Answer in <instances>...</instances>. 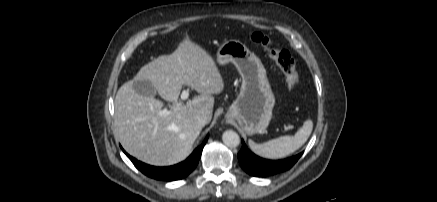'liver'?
<instances>
[{
	"instance_id": "1",
	"label": "liver",
	"mask_w": 437,
	"mask_h": 202,
	"mask_svg": "<svg viewBox=\"0 0 437 202\" xmlns=\"http://www.w3.org/2000/svg\"><path fill=\"white\" fill-rule=\"evenodd\" d=\"M147 80L165 101L169 114L160 115L163 102L138 94L134 81ZM200 95L186 104L178 102L182 86ZM224 81L211 55L186 35L171 55H161L144 65L133 80L124 83L114 100V126L123 148L150 165L168 166L181 162L200 135L197 116L212 118L214 97Z\"/></svg>"
}]
</instances>
